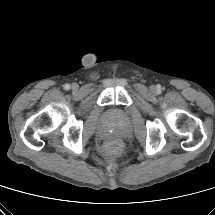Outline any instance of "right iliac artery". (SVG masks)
<instances>
[{
	"mask_svg": "<svg viewBox=\"0 0 215 215\" xmlns=\"http://www.w3.org/2000/svg\"><path fill=\"white\" fill-rule=\"evenodd\" d=\"M64 89H65V90H69V89H70V85H69V84H65V85H64Z\"/></svg>",
	"mask_w": 215,
	"mask_h": 215,
	"instance_id": "right-iliac-artery-1",
	"label": "right iliac artery"
}]
</instances>
